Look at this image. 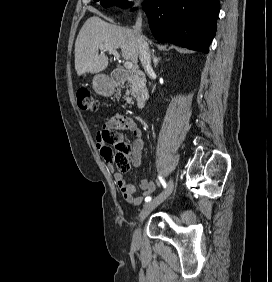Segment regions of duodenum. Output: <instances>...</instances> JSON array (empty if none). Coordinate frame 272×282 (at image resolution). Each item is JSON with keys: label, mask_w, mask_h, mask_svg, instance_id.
<instances>
[{"label": "duodenum", "mask_w": 272, "mask_h": 282, "mask_svg": "<svg viewBox=\"0 0 272 282\" xmlns=\"http://www.w3.org/2000/svg\"><path fill=\"white\" fill-rule=\"evenodd\" d=\"M126 81H132L136 85L135 108L136 110L142 109L149 98V92L146 87L145 75L141 70L114 71L110 79L105 81L104 89L107 90L110 86H117Z\"/></svg>", "instance_id": "1"}]
</instances>
